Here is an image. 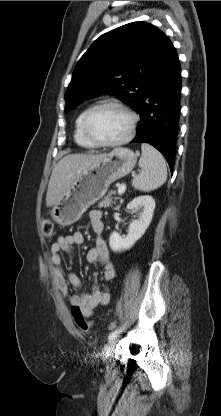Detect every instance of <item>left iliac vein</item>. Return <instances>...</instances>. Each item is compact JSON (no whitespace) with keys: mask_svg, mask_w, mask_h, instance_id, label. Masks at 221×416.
<instances>
[{"mask_svg":"<svg viewBox=\"0 0 221 416\" xmlns=\"http://www.w3.org/2000/svg\"><path fill=\"white\" fill-rule=\"evenodd\" d=\"M116 343H117V339L116 338L110 339L109 342L104 347L105 353L112 352V350L114 349Z\"/></svg>","mask_w":221,"mask_h":416,"instance_id":"1","label":"left iliac vein"}]
</instances>
